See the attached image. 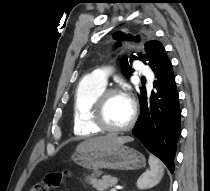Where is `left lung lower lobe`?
I'll return each mask as SVG.
<instances>
[{
  "instance_id": "obj_1",
  "label": "left lung lower lobe",
  "mask_w": 210,
  "mask_h": 191,
  "mask_svg": "<svg viewBox=\"0 0 210 191\" xmlns=\"http://www.w3.org/2000/svg\"><path fill=\"white\" fill-rule=\"evenodd\" d=\"M151 69L156 78L153 82L154 89L147 91L140 88L138 97L141 112L132 132L173 173L181 132V110L173 67L165 54Z\"/></svg>"
}]
</instances>
